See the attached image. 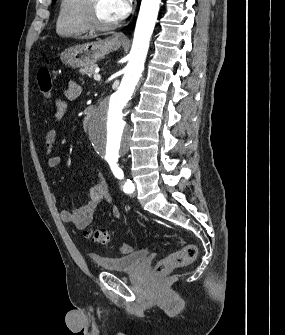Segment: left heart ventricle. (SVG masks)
<instances>
[{"instance_id": "1", "label": "left heart ventricle", "mask_w": 285, "mask_h": 335, "mask_svg": "<svg viewBox=\"0 0 285 335\" xmlns=\"http://www.w3.org/2000/svg\"><path fill=\"white\" fill-rule=\"evenodd\" d=\"M97 18L103 24L114 23L111 1H97Z\"/></svg>"}]
</instances>
